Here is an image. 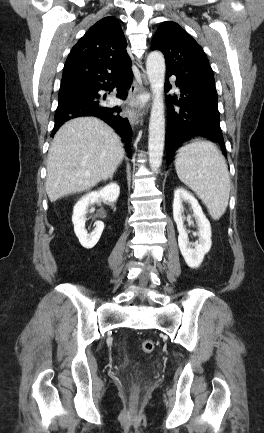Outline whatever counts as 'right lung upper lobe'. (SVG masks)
<instances>
[{
  "label": "right lung upper lobe",
  "mask_w": 264,
  "mask_h": 433,
  "mask_svg": "<svg viewBox=\"0 0 264 433\" xmlns=\"http://www.w3.org/2000/svg\"><path fill=\"white\" fill-rule=\"evenodd\" d=\"M126 47L119 21L113 16L104 17L72 48L65 63L63 78L128 66L131 60Z\"/></svg>",
  "instance_id": "right-lung-upper-lobe-1"
}]
</instances>
